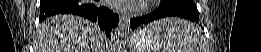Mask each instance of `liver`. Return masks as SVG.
<instances>
[{
	"mask_svg": "<svg viewBox=\"0 0 261 52\" xmlns=\"http://www.w3.org/2000/svg\"><path fill=\"white\" fill-rule=\"evenodd\" d=\"M34 48L35 52H102V32L82 17L56 15L39 25Z\"/></svg>",
	"mask_w": 261,
	"mask_h": 52,
	"instance_id": "6515ba94",
	"label": "liver"
}]
</instances>
